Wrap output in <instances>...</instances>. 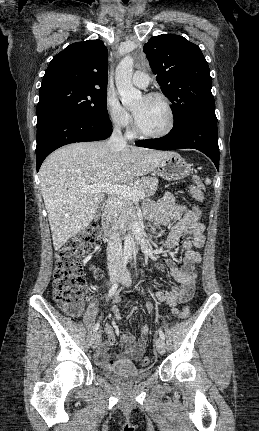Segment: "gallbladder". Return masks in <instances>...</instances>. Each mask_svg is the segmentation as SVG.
I'll list each match as a JSON object with an SVG mask.
<instances>
[{"instance_id":"1","label":"gallbladder","mask_w":259,"mask_h":431,"mask_svg":"<svg viewBox=\"0 0 259 431\" xmlns=\"http://www.w3.org/2000/svg\"><path fill=\"white\" fill-rule=\"evenodd\" d=\"M101 204H99L98 206H97V211H96V215H95V218L96 219H98L99 217H100V213H101Z\"/></svg>"}]
</instances>
